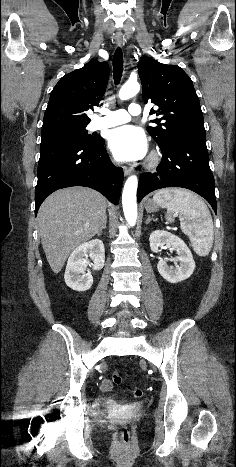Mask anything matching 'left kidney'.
Returning a JSON list of instances; mask_svg holds the SVG:
<instances>
[{
    "instance_id": "left-kidney-1",
    "label": "left kidney",
    "mask_w": 236,
    "mask_h": 467,
    "mask_svg": "<svg viewBox=\"0 0 236 467\" xmlns=\"http://www.w3.org/2000/svg\"><path fill=\"white\" fill-rule=\"evenodd\" d=\"M150 248L152 252H161V247L164 245L169 246L172 250H176L178 257L174 259L175 262H180L176 267H169L167 265V258H161L157 264V269L160 275L170 283H178L189 278L194 269L195 262L193 256L187 245L178 236L171 234L167 231H154L150 234Z\"/></svg>"
}]
</instances>
